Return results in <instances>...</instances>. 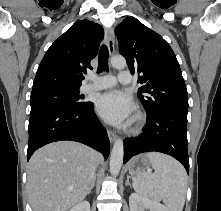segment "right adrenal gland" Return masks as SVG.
Listing matches in <instances>:
<instances>
[{
	"mask_svg": "<svg viewBox=\"0 0 221 211\" xmlns=\"http://www.w3.org/2000/svg\"><path fill=\"white\" fill-rule=\"evenodd\" d=\"M95 181H96V176L93 178V181H92V184H91L90 189H89V191H88V194H90L91 191H92V189L94 188V186H95Z\"/></svg>",
	"mask_w": 221,
	"mask_h": 211,
	"instance_id": "right-adrenal-gland-1",
	"label": "right adrenal gland"
}]
</instances>
